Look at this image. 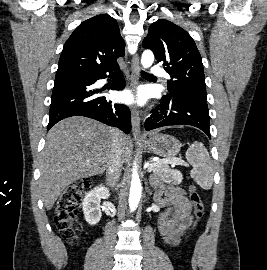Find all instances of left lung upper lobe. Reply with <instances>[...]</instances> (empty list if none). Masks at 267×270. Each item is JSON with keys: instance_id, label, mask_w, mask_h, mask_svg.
Here are the masks:
<instances>
[{"instance_id": "left-lung-upper-lobe-1", "label": "left lung upper lobe", "mask_w": 267, "mask_h": 270, "mask_svg": "<svg viewBox=\"0 0 267 270\" xmlns=\"http://www.w3.org/2000/svg\"><path fill=\"white\" fill-rule=\"evenodd\" d=\"M142 46L153 51L171 79L162 99L186 97L207 102L201 55L192 37L174 23L160 19L152 23Z\"/></svg>"}]
</instances>
